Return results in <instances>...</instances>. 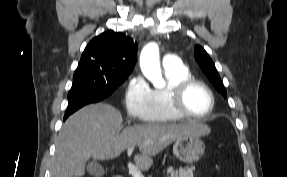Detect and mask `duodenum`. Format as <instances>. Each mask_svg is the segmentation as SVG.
<instances>
[{
    "instance_id": "1",
    "label": "duodenum",
    "mask_w": 287,
    "mask_h": 177,
    "mask_svg": "<svg viewBox=\"0 0 287 177\" xmlns=\"http://www.w3.org/2000/svg\"><path fill=\"white\" fill-rule=\"evenodd\" d=\"M115 177H122V176H119V175H118V176H115Z\"/></svg>"
}]
</instances>
